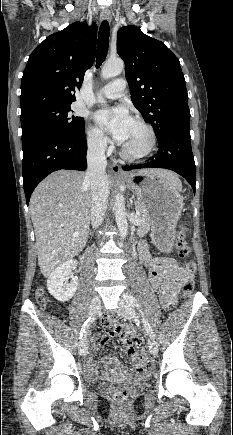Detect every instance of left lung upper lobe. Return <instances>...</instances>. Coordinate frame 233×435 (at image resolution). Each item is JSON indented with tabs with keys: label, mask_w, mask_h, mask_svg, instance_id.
<instances>
[{
	"label": "left lung upper lobe",
	"mask_w": 233,
	"mask_h": 435,
	"mask_svg": "<svg viewBox=\"0 0 233 435\" xmlns=\"http://www.w3.org/2000/svg\"><path fill=\"white\" fill-rule=\"evenodd\" d=\"M117 52L125 62L131 100L157 139L190 128L185 79L174 53L133 25L118 31Z\"/></svg>",
	"instance_id": "left-lung-upper-lobe-1"
}]
</instances>
